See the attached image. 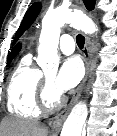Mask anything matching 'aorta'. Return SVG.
<instances>
[{
	"instance_id": "aorta-1",
	"label": "aorta",
	"mask_w": 117,
	"mask_h": 136,
	"mask_svg": "<svg viewBox=\"0 0 117 136\" xmlns=\"http://www.w3.org/2000/svg\"><path fill=\"white\" fill-rule=\"evenodd\" d=\"M66 23L73 24L85 33H93L97 30L93 21L78 11L73 12L69 9L56 8L47 12L42 20L37 59L38 65L43 70H56L58 67L59 57L57 55V48L60 29ZM86 117V103H77L67 117L60 136H82Z\"/></svg>"
}]
</instances>
